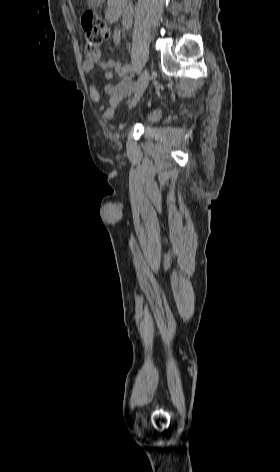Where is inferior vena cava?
<instances>
[{
  "label": "inferior vena cava",
  "instance_id": "602c4592",
  "mask_svg": "<svg viewBox=\"0 0 280 472\" xmlns=\"http://www.w3.org/2000/svg\"><path fill=\"white\" fill-rule=\"evenodd\" d=\"M132 19H133V6H132V3L129 2L128 4H126L124 12H123V24L127 29L131 27Z\"/></svg>",
  "mask_w": 280,
  "mask_h": 472
}]
</instances>
